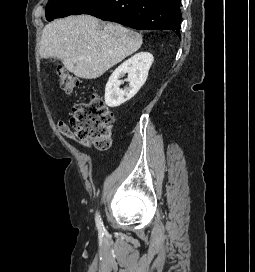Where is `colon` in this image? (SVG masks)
<instances>
[{"label":"colon","instance_id":"colon-1","mask_svg":"<svg viewBox=\"0 0 255 272\" xmlns=\"http://www.w3.org/2000/svg\"><path fill=\"white\" fill-rule=\"evenodd\" d=\"M61 89L73 93L81 86V81L64 68L57 72ZM114 114L103 100L93 95L86 102L75 105L72 109L70 124L76 137L96 149L106 150L111 146Z\"/></svg>","mask_w":255,"mask_h":272}]
</instances>
